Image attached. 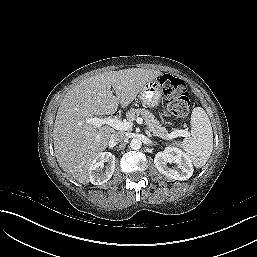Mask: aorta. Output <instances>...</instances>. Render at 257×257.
Returning a JSON list of instances; mask_svg holds the SVG:
<instances>
[{
    "mask_svg": "<svg viewBox=\"0 0 257 257\" xmlns=\"http://www.w3.org/2000/svg\"><path fill=\"white\" fill-rule=\"evenodd\" d=\"M141 146H142V142L139 139L135 138V139H132L131 142H130V147L133 150H138V149L141 148Z\"/></svg>",
    "mask_w": 257,
    "mask_h": 257,
    "instance_id": "762f6f07",
    "label": "aorta"
}]
</instances>
